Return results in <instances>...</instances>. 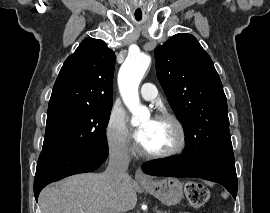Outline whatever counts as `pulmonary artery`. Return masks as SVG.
I'll list each match as a JSON object with an SVG mask.
<instances>
[{
    "mask_svg": "<svg viewBox=\"0 0 270 213\" xmlns=\"http://www.w3.org/2000/svg\"><path fill=\"white\" fill-rule=\"evenodd\" d=\"M157 89L153 83H144L141 88V96L145 100H153L156 98Z\"/></svg>",
    "mask_w": 270,
    "mask_h": 213,
    "instance_id": "e3ab8cb5",
    "label": "pulmonary artery"
}]
</instances>
